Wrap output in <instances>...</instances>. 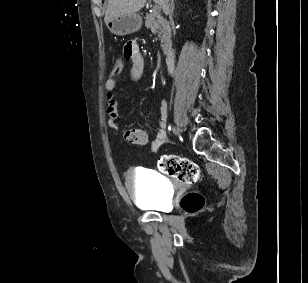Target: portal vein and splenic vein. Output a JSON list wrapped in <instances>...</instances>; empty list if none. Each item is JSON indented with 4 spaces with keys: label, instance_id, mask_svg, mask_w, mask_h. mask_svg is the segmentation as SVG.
<instances>
[{
    "label": "portal vein and splenic vein",
    "instance_id": "obj_1",
    "mask_svg": "<svg viewBox=\"0 0 308 283\" xmlns=\"http://www.w3.org/2000/svg\"><path fill=\"white\" fill-rule=\"evenodd\" d=\"M160 7H161V4H160V3H156L154 9H155L156 11H158V10L160 9Z\"/></svg>",
    "mask_w": 308,
    "mask_h": 283
}]
</instances>
